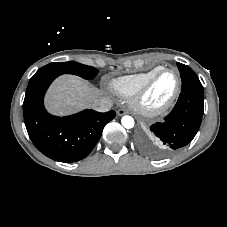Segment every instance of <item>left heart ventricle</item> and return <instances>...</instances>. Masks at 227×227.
I'll list each match as a JSON object with an SVG mask.
<instances>
[{
    "instance_id": "obj_1",
    "label": "left heart ventricle",
    "mask_w": 227,
    "mask_h": 227,
    "mask_svg": "<svg viewBox=\"0 0 227 227\" xmlns=\"http://www.w3.org/2000/svg\"><path fill=\"white\" fill-rule=\"evenodd\" d=\"M176 87V75L164 72L154 82L144 98V104L150 107H158L164 104L173 94Z\"/></svg>"
}]
</instances>
